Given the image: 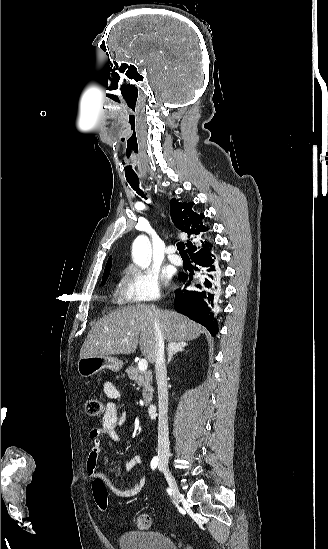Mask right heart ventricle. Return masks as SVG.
I'll list each match as a JSON object with an SVG mask.
<instances>
[{
    "label": "right heart ventricle",
    "instance_id": "1",
    "mask_svg": "<svg viewBox=\"0 0 328 549\" xmlns=\"http://www.w3.org/2000/svg\"><path fill=\"white\" fill-rule=\"evenodd\" d=\"M112 303H133L125 292L123 282L116 284L112 295Z\"/></svg>",
    "mask_w": 328,
    "mask_h": 549
}]
</instances>
